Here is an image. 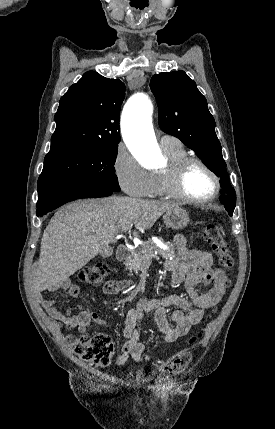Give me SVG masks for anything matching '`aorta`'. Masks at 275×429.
I'll return each instance as SVG.
<instances>
[{
  "instance_id": "762f6f07",
  "label": "aorta",
  "mask_w": 275,
  "mask_h": 429,
  "mask_svg": "<svg viewBox=\"0 0 275 429\" xmlns=\"http://www.w3.org/2000/svg\"><path fill=\"white\" fill-rule=\"evenodd\" d=\"M152 116L153 105L150 99L140 93L126 103L121 118L122 136L128 149L149 169L157 168L161 159Z\"/></svg>"
}]
</instances>
